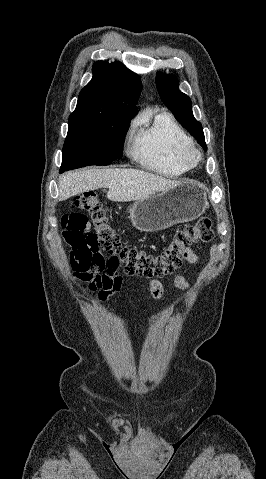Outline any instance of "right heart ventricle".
Here are the masks:
<instances>
[{"instance_id":"obj_1","label":"right heart ventricle","mask_w":266,"mask_h":479,"mask_svg":"<svg viewBox=\"0 0 266 479\" xmlns=\"http://www.w3.org/2000/svg\"><path fill=\"white\" fill-rule=\"evenodd\" d=\"M193 146L191 138L168 113L144 119L136 128L130 145L131 156L145 169L156 174L177 177L194 165L183 158V151Z\"/></svg>"}]
</instances>
